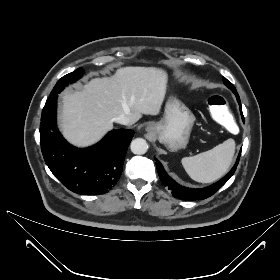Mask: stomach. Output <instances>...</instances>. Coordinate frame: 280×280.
<instances>
[{
  "instance_id": "0dacf381",
  "label": "stomach",
  "mask_w": 280,
  "mask_h": 280,
  "mask_svg": "<svg viewBox=\"0 0 280 280\" xmlns=\"http://www.w3.org/2000/svg\"><path fill=\"white\" fill-rule=\"evenodd\" d=\"M195 116L186 105L176 97L166 103L164 117L152 125L150 133L169 151H177L188 144Z\"/></svg>"
}]
</instances>
